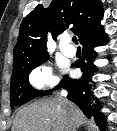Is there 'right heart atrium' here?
Segmentation results:
<instances>
[{
    "instance_id": "1",
    "label": "right heart atrium",
    "mask_w": 117,
    "mask_h": 131,
    "mask_svg": "<svg viewBox=\"0 0 117 131\" xmlns=\"http://www.w3.org/2000/svg\"><path fill=\"white\" fill-rule=\"evenodd\" d=\"M30 84L36 89H45L54 87L58 80L52 74L51 69L46 66L35 68L29 76Z\"/></svg>"
}]
</instances>
